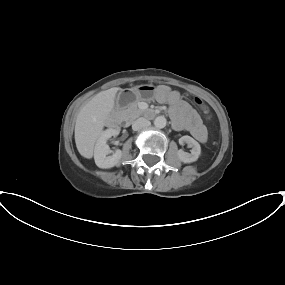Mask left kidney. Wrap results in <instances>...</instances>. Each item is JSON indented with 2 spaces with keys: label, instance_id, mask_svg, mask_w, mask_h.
Wrapping results in <instances>:
<instances>
[{
  "label": "left kidney",
  "instance_id": "left-kidney-1",
  "mask_svg": "<svg viewBox=\"0 0 285 285\" xmlns=\"http://www.w3.org/2000/svg\"><path fill=\"white\" fill-rule=\"evenodd\" d=\"M184 143H187L189 147L192 148V150H191V153H187V152H184L183 150H179L177 152V155L180 161L184 163H192V162L197 161V159L199 158L201 154L200 144L196 140H194L192 137L187 136V135L182 136L179 139V144L183 145Z\"/></svg>",
  "mask_w": 285,
  "mask_h": 285
}]
</instances>
